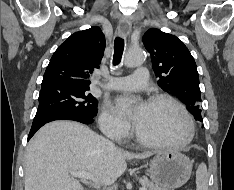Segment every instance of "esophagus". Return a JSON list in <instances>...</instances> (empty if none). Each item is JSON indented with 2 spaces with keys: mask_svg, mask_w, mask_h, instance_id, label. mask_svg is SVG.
Returning a JSON list of instances; mask_svg holds the SVG:
<instances>
[{
  "mask_svg": "<svg viewBox=\"0 0 234 190\" xmlns=\"http://www.w3.org/2000/svg\"><path fill=\"white\" fill-rule=\"evenodd\" d=\"M131 31V24L127 20H123L118 26V32L127 36Z\"/></svg>",
  "mask_w": 234,
  "mask_h": 190,
  "instance_id": "obj_1",
  "label": "esophagus"
}]
</instances>
